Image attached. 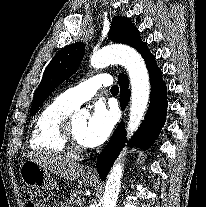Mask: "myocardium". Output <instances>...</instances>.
<instances>
[{"label": "myocardium", "mask_w": 206, "mask_h": 207, "mask_svg": "<svg viewBox=\"0 0 206 207\" xmlns=\"http://www.w3.org/2000/svg\"><path fill=\"white\" fill-rule=\"evenodd\" d=\"M72 118L68 117L60 128V140L69 152L80 153L86 150V146L80 144L73 133Z\"/></svg>", "instance_id": "f54148a6"}]
</instances>
